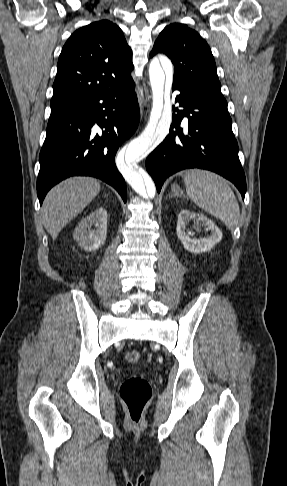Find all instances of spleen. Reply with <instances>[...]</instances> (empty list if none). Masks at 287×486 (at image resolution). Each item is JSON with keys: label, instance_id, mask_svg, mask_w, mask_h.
<instances>
[{"label": "spleen", "instance_id": "obj_1", "mask_svg": "<svg viewBox=\"0 0 287 486\" xmlns=\"http://www.w3.org/2000/svg\"><path fill=\"white\" fill-rule=\"evenodd\" d=\"M188 197L201 209L234 229L240 209L228 182L218 174L206 170H189L184 176Z\"/></svg>", "mask_w": 287, "mask_h": 486}]
</instances>
